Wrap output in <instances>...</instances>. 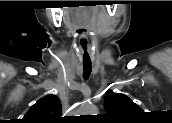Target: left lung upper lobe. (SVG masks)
<instances>
[{"mask_svg": "<svg viewBox=\"0 0 172 123\" xmlns=\"http://www.w3.org/2000/svg\"><path fill=\"white\" fill-rule=\"evenodd\" d=\"M104 106L106 116L115 120H128L143 112L129 97L112 91L106 93Z\"/></svg>", "mask_w": 172, "mask_h": 123, "instance_id": "1", "label": "left lung upper lobe"}]
</instances>
